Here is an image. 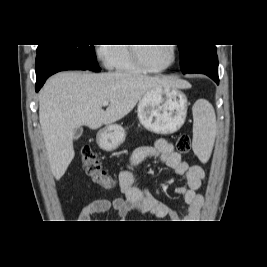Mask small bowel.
Masks as SVG:
<instances>
[{
	"mask_svg": "<svg viewBox=\"0 0 267 267\" xmlns=\"http://www.w3.org/2000/svg\"><path fill=\"white\" fill-rule=\"evenodd\" d=\"M158 157L161 162L174 170L175 174L186 178L185 186L175 188V193L184 198L188 205L183 218L193 222L200 216L202 196L197 190L205 180L206 175L199 165H190L175 151L174 146L164 139H158L153 146H142L133 151L129 157L126 169L118 175V187L123 197L113 200L96 199L85 206L78 216V222H91L100 213L114 210L120 219H125L132 210H138L157 218L178 220L177 213L167 204L159 201L149 190H142L135 185L133 168L146 158Z\"/></svg>",
	"mask_w": 267,
	"mask_h": 267,
	"instance_id": "obj_1",
	"label": "small bowel"
}]
</instances>
